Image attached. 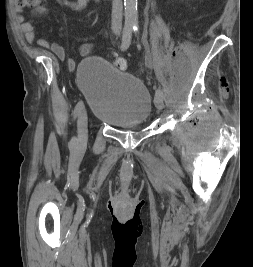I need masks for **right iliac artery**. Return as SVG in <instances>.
<instances>
[{"instance_id": "obj_1", "label": "right iliac artery", "mask_w": 253, "mask_h": 267, "mask_svg": "<svg viewBox=\"0 0 253 267\" xmlns=\"http://www.w3.org/2000/svg\"><path fill=\"white\" fill-rule=\"evenodd\" d=\"M131 36H132V29L131 28L126 29L123 33L122 43L120 47L122 51L126 50L129 47L131 43ZM83 108H84V103L82 100H80L75 106V109L73 112L74 118H76L80 114ZM76 141H77L76 137H73L71 139L70 144L72 147L76 145Z\"/></svg>"}]
</instances>
